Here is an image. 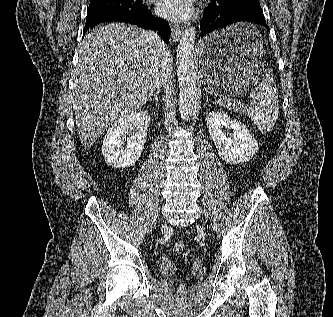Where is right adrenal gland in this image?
Returning a JSON list of instances; mask_svg holds the SVG:
<instances>
[{
    "instance_id": "right-adrenal-gland-1",
    "label": "right adrenal gland",
    "mask_w": 333,
    "mask_h": 317,
    "mask_svg": "<svg viewBox=\"0 0 333 317\" xmlns=\"http://www.w3.org/2000/svg\"><path fill=\"white\" fill-rule=\"evenodd\" d=\"M148 101H156V102H159L160 101V91L159 89L157 90V92L153 95V97H150L148 99Z\"/></svg>"
}]
</instances>
